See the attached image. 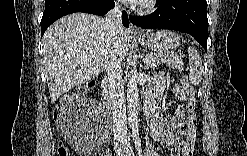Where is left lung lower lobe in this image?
I'll return each instance as SVG.
<instances>
[{"instance_id":"left-lung-lower-lobe-1","label":"left lung lower lobe","mask_w":247,"mask_h":156,"mask_svg":"<svg viewBox=\"0 0 247 156\" xmlns=\"http://www.w3.org/2000/svg\"><path fill=\"white\" fill-rule=\"evenodd\" d=\"M206 0H158L157 10L130 20L140 28L171 29L192 35L207 51L208 19Z\"/></svg>"}]
</instances>
